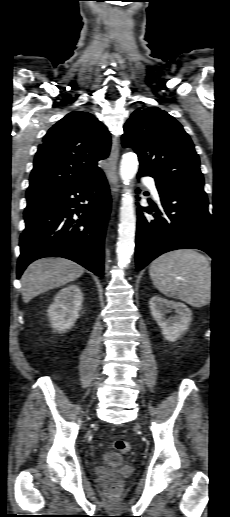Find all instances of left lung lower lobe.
Segmentation results:
<instances>
[{"label": "left lung lower lobe", "mask_w": 230, "mask_h": 517, "mask_svg": "<svg viewBox=\"0 0 230 517\" xmlns=\"http://www.w3.org/2000/svg\"><path fill=\"white\" fill-rule=\"evenodd\" d=\"M149 176L139 172L138 178ZM163 213L156 207L138 211L136 232V265L144 268L159 255L182 248H196L213 257L208 199L203 189L176 188L156 180ZM140 190L137 189V193ZM142 210L151 214L145 217Z\"/></svg>", "instance_id": "left-lung-lower-lobe-1"}]
</instances>
